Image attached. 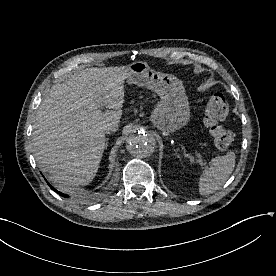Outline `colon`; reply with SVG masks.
<instances>
[{
  "instance_id": "colon-1",
  "label": "colon",
  "mask_w": 276,
  "mask_h": 276,
  "mask_svg": "<svg viewBox=\"0 0 276 276\" xmlns=\"http://www.w3.org/2000/svg\"><path fill=\"white\" fill-rule=\"evenodd\" d=\"M228 113L229 104L224 95H212L206 104L203 122L215 146L221 151L228 150L234 142V134L222 125Z\"/></svg>"
}]
</instances>
